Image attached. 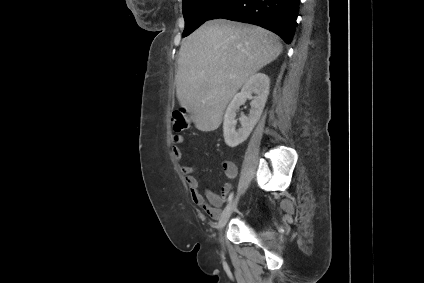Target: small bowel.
<instances>
[{
  "instance_id": "c3829d8e",
  "label": "small bowel",
  "mask_w": 424,
  "mask_h": 283,
  "mask_svg": "<svg viewBox=\"0 0 424 283\" xmlns=\"http://www.w3.org/2000/svg\"><path fill=\"white\" fill-rule=\"evenodd\" d=\"M183 141L184 138L181 135H174L172 137L173 154L179 160L182 159L183 156L182 150L179 147V145L182 144ZM222 167L226 177L229 180H233L236 178L238 168L234 162L230 160H224L222 162ZM181 170L185 176L194 203L203 207L205 212L212 219L217 220L221 215V207L223 205V202L228 197V195L231 194L230 191L232 189V184L230 182L225 183L222 187L221 194L216 193L210 188H205L204 191H202L198 179L194 176V168L189 165H183L181 167Z\"/></svg>"
}]
</instances>
